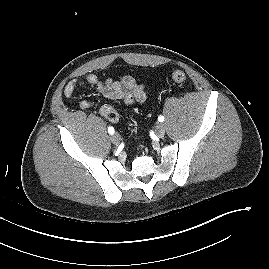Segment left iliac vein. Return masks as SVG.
<instances>
[{
    "mask_svg": "<svg viewBox=\"0 0 269 269\" xmlns=\"http://www.w3.org/2000/svg\"><path fill=\"white\" fill-rule=\"evenodd\" d=\"M155 132L158 137L162 138L165 135V126L163 123H158L155 127Z\"/></svg>",
    "mask_w": 269,
    "mask_h": 269,
    "instance_id": "4c4485c4",
    "label": "left iliac vein"
}]
</instances>
